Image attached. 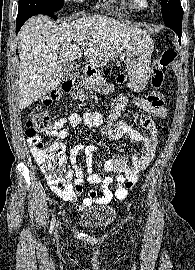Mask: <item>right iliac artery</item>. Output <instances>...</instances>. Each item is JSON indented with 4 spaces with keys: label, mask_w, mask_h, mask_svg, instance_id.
<instances>
[{
    "label": "right iliac artery",
    "mask_w": 195,
    "mask_h": 270,
    "mask_svg": "<svg viewBox=\"0 0 195 270\" xmlns=\"http://www.w3.org/2000/svg\"><path fill=\"white\" fill-rule=\"evenodd\" d=\"M55 227V216L52 217L51 226H50V233L54 230Z\"/></svg>",
    "instance_id": "right-iliac-artery-1"
}]
</instances>
